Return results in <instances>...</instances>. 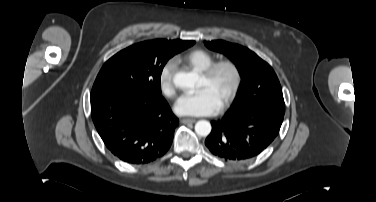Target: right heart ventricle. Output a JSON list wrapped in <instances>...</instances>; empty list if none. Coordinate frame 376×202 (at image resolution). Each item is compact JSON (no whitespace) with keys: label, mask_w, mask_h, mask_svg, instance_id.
<instances>
[{"label":"right heart ventricle","mask_w":376,"mask_h":202,"mask_svg":"<svg viewBox=\"0 0 376 202\" xmlns=\"http://www.w3.org/2000/svg\"><path fill=\"white\" fill-rule=\"evenodd\" d=\"M214 56L204 49H195L175 58L177 63L202 72L214 62Z\"/></svg>","instance_id":"e07e8e85"}]
</instances>
